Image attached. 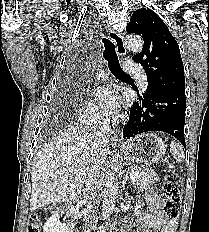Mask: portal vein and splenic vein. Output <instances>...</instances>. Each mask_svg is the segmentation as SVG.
Instances as JSON below:
<instances>
[{
	"label": "portal vein and splenic vein",
	"mask_w": 209,
	"mask_h": 232,
	"mask_svg": "<svg viewBox=\"0 0 209 232\" xmlns=\"http://www.w3.org/2000/svg\"><path fill=\"white\" fill-rule=\"evenodd\" d=\"M135 174H137V172H135V170H134V169H131L130 176H131V177H134V176H135Z\"/></svg>",
	"instance_id": "1"
}]
</instances>
